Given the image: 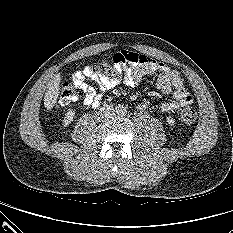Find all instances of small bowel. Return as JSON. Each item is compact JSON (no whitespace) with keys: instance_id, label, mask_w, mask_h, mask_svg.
<instances>
[{"instance_id":"small-bowel-1","label":"small bowel","mask_w":233,"mask_h":233,"mask_svg":"<svg viewBox=\"0 0 233 233\" xmlns=\"http://www.w3.org/2000/svg\"><path fill=\"white\" fill-rule=\"evenodd\" d=\"M113 59L124 71L123 83L128 87L137 86L145 75L158 73L157 88L164 94H172L174 97V101L161 104L160 109L162 112L178 110L192 103V97L185 89L180 73L172 70L165 63L147 55H139L125 50L116 53ZM87 80L94 81L98 85L99 91L90 85ZM72 82L76 88L83 92V103L97 108L102 102L103 93L117 87L121 83V78L110 77L86 66L72 75ZM147 105L146 102H143L139 108L145 109Z\"/></svg>"}]
</instances>
